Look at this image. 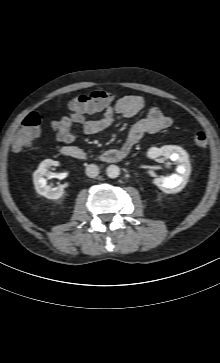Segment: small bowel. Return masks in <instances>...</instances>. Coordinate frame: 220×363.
Wrapping results in <instances>:
<instances>
[{"mask_svg":"<svg viewBox=\"0 0 220 363\" xmlns=\"http://www.w3.org/2000/svg\"><path fill=\"white\" fill-rule=\"evenodd\" d=\"M146 109V101L138 95H127L106 105L87 97L80 107H72L67 116L51 122L56 139L64 144L76 141L72 132L73 125H80L84 133L97 134L109 128L117 119L133 118ZM100 114L97 118L92 116ZM173 123L171 117L165 115L158 107H150L145 115L130 127L124 147L127 149L137 145L146 134H153L169 128Z\"/></svg>","mask_w":220,"mask_h":363,"instance_id":"1","label":"small bowel"}]
</instances>
